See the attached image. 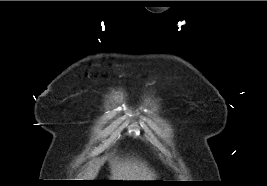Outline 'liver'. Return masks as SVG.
<instances>
[{
	"label": "liver",
	"mask_w": 267,
	"mask_h": 186,
	"mask_svg": "<svg viewBox=\"0 0 267 186\" xmlns=\"http://www.w3.org/2000/svg\"><path fill=\"white\" fill-rule=\"evenodd\" d=\"M104 164V159L98 160L87 169L86 178H95L100 167ZM112 180L124 181H150L155 178L145 163L135 159H119L118 157L109 160ZM90 180V179H89Z\"/></svg>",
	"instance_id": "obj_1"
}]
</instances>
